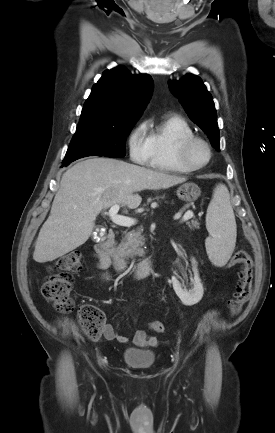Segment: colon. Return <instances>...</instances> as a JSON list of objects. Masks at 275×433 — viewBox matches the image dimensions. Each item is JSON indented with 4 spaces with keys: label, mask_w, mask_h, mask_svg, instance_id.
Segmentation results:
<instances>
[{
    "label": "colon",
    "mask_w": 275,
    "mask_h": 433,
    "mask_svg": "<svg viewBox=\"0 0 275 433\" xmlns=\"http://www.w3.org/2000/svg\"><path fill=\"white\" fill-rule=\"evenodd\" d=\"M231 263L240 265L235 292L228 300L229 313L231 316H236L250 299L254 266L249 254L244 250L237 251ZM81 269L80 252H68L57 259L54 264V272L49 274L42 284L43 297L61 313H69L74 310L75 304L71 298V290L74 276ZM78 318L81 328L88 339L97 340L101 336L105 317L98 307L90 303L80 305ZM150 328L156 333L165 330L162 321L151 322Z\"/></svg>",
    "instance_id": "obj_1"
}]
</instances>
